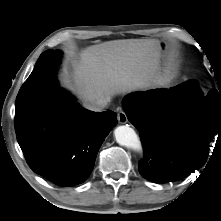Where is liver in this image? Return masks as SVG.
Returning <instances> with one entry per match:
<instances>
[{"instance_id": "1", "label": "liver", "mask_w": 221, "mask_h": 221, "mask_svg": "<svg viewBox=\"0 0 221 221\" xmlns=\"http://www.w3.org/2000/svg\"><path fill=\"white\" fill-rule=\"evenodd\" d=\"M161 48L154 39L113 40L87 47L72 62L74 85L86 102L157 83Z\"/></svg>"}]
</instances>
